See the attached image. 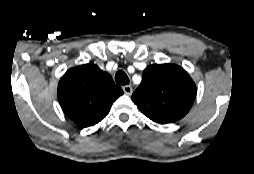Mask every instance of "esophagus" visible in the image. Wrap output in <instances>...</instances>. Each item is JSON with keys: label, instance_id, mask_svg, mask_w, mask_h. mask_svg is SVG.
<instances>
[{"label": "esophagus", "instance_id": "obj_1", "mask_svg": "<svg viewBox=\"0 0 254 174\" xmlns=\"http://www.w3.org/2000/svg\"><path fill=\"white\" fill-rule=\"evenodd\" d=\"M122 89L126 95H131L133 92V88L130 85H125L122 87Z\"/></svg>", "mask_w": 254, "mask_h": 174}]
</instances>
